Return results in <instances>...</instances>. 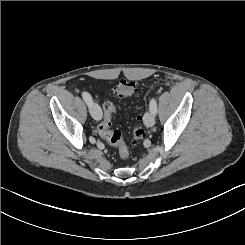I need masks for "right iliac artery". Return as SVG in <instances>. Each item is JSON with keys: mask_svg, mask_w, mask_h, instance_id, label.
Listing matches in <instances>:
<instances>
[{"mask_svg": "<svg viewBox=\"0 0 245 245\" xmlns=\"http://www.w3.org/2000/svg\"><path fill=\"white\" fill-rule=\"evenodd\" d=\"M82 97L88 106L92 103V97L88 92H83Z\"/></svg>", "mask_w": 245, "mask_h": 245, "instance_id": "82829eb1", "label": "right iliac artery"}]
</instances>
